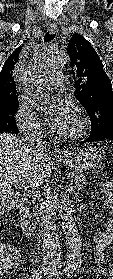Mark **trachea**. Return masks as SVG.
I'll use <instances>...</instances> for the list:
<instances>
[{"label":"trachea","instance_id":"3493384b","mask_svg":"<svg viewBox=\"0 0 113 279\" xmlns=\"http://www.w3.org/2000/svg\"><path fill=\"white\" fill-rule=\"evenodd\" d=\"M56 34H50L49 32H47L44 36V41L45 42H50L55 38Z\"/></svg>","mask_w":113,"mask_h":279}]
</instances>
